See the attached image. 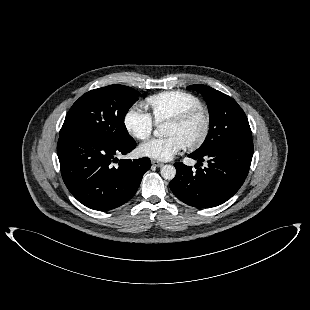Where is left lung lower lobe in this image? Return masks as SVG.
Instances as JSON below:
<instances>
[{
	"label": "left lung lower lobe",
	"instance_id": "left-lung-lower-lobe-1",
	"mask_svg": "<svg viewBox=\"0 0 310 310\" xmlns=\"http://www.w3.org/2000/svg\"><path fill=\"white\" fill-rule=\"evenodd\" d=\"M253 156V142L241 141L223 145L203 154L188 155L197 159V171L175 163L176 176L169 183L171 191L182 202L198 208L218 206L230 199L248 175ZM204 159L208 166L199 168Z\"/></svg>",
	"mask_w": 310,
	"mask_h": 310
}]
</instances>
